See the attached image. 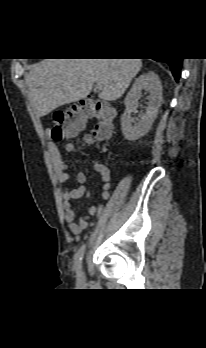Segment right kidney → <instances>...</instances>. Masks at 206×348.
Returning <instances> with one entry per match:
<instances>
[{"mask_svg":"<svg viewBox=\"0 0 206 348\" xmlns=\"http://www.w3.org/2000/svg\"><path fill=\"white\" fill-rule=\"evenodd\" d=\"M143 90L149 93L148 104L145 113L140 114L141 119L135 122L131 114L137 111L138 100L142 96ZM161 100L162 85L156 73L149 71L136 78L125 98L126 110L121 117L122 133L127 140L135 141L150 130L161 106Z\"/></svg>","mask_w":206,"mask_h":348,"instance_id":"ca27d5eb","label":"right kidney"}]
</instances>
